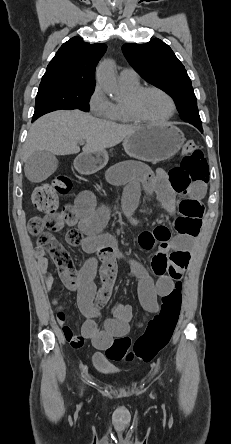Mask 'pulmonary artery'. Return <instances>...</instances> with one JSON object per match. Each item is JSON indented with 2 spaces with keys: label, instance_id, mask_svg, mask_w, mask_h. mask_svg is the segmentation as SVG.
Wrapping results in <instances>:
<instances>
[{
  "label": "pulmonary artery",
  "instance_id": "e3ab8cb5",
  "mask_svg": "<svg viewBox=\"0 0 231 444\" xmlns=\"http://www.w3.org/2000/svg\"><path fill=\"white\" fill-rule=\"evenodd\" d=\"M120 80L123 82H137L139 81L138 74L135 70L125 68L120 72Z\"/></svg>",
  "mask_w": 231,
  "mask_h": 444
}]
</instances>
